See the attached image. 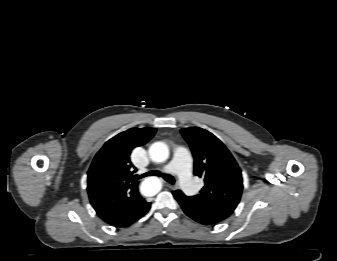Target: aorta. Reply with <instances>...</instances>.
<instances>
[{
	"label": "aorta",
	"instance_id": "762f6f07",
	"mask_svg": "<svg viewBox=\"0 0 337 261\" xmlns=\"http://www.w3.org/2000/svg\"><path fill=\"white\" fill-rule=\"evenodd\" d=\"M149 156L154 162H164L169 157V148L163 142H155L149 147ZM160 189L161 182L156 177H149L145 179L140 186V190L145 196H153L157 194Z\"/></svg>",
	"mask_w": 337,
	"mask_h": 261
}]
</instances>
